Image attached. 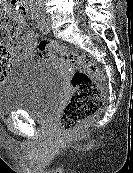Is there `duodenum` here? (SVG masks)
<instances>
[{
    "instance_id": "duodenum-1",
    "label": "duodenum",
    "mask_w": 133,
    "mask_h": 173,
    "mask_svg": "<svg viewBox=\"0 0 133 173\" xmlns=\"http://www.w3.org/2000/svg\"><path fill=\"white\" fill-rule=\"evenodd\" d=\"M13 4L19 5L21 7L22 13L25 16H31L32 10L30 4L27 0H11Z\"/></svg>"
}]
</instances>
